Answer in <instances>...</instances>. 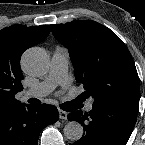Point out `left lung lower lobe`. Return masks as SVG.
<instances>
[{
    "label": "left lung lower lobe",
    "instance_id": "obj_1",
    "mask_svg": "<svg viewBox=\"0 0 145 145\" xmlns=\"http://www.w3.org/2000/svg\"><path fill=\"white\" fill-rule=\"evenodd\" d=\"M139 104H93L89 113L75 111L67 118L79 122L82 138L70 145H126L137 120Z\"/></svg>",
    "mask_w": 145,
    "mask_h": 145
}]
</instances>
